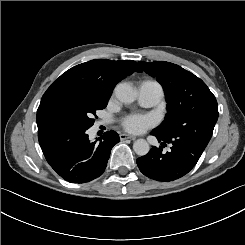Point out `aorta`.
Listing matches in <instances>:
<instances>
[{
    "instance_id": "obj_1",
    "label": "aorta",
    "mask_w": 245,
    "mask_h": 245,
    "mask_svg": "<svg viewBox=\"0 0 245 245\" xmlns=\"http://www.w3.org/2000/svg\"><path fill=\"white\" fill-rule=\"evenodd\" d=\"M115 96L122 103H132L136 99V93L131 86L126 83L118 84L115 88ZM133 150L139 156L146 155L149 150V144L144 139H138L133 144Z\"/></svg>"
}]
</instances>
